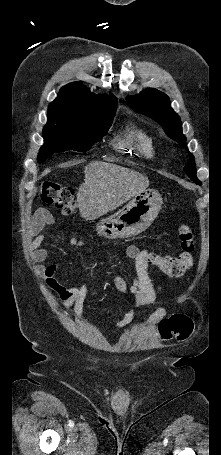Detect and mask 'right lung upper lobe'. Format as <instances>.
I'll return each mask as SVG.
<instances>
[{
  "mask_svg": "<svg viewBox=\"0 0 221 455\" xmlns=\"http://www.w3.org/2000/svg\"><path fill=\"white\" fill-rule=\"evenodd\" d=\"M116 107L115 96H97L80 82H73L61 88L58 97L50 104L47 116L84 120Z\"/></svg>",
  "mask_w": 221,
  "mask_h": 455,
  "instance_id": "obj_1",
  "label": "right lung upper lobe"
}]
</instances>
